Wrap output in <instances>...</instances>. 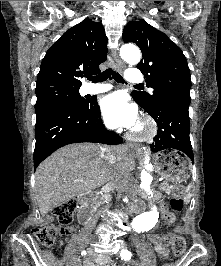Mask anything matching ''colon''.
I'll return each mask as SVG.
<instances>
[{
	"label": "colon",
	"instance_id": "1",
	"mask_svg": "<svg viewBox=\"0 0 221 266\" xmlns=\"http://www.w3.org/2000/svg\"><path fill=\"white\" fill-rule=\"evenodd\" d=\"M182 186H177L174 195L169 201L171 211L163 210L162 216L166 224L171 225L175 221V213L182 211L184 202L182 199ZM76 210V202L67 200L52 210L53 216L57 219L59 227L44 226L33 229L34 236L45 247H51L55 244L58 235H68L72 232V220ZM170 235L162 233L159 235L161 244H166ZM172 250L175 256H181L186 250V241L182 236H176L172 240Z\"/></svg>",
	"mask_w": 221,
	"mask_h": 266
}]
</instances>
